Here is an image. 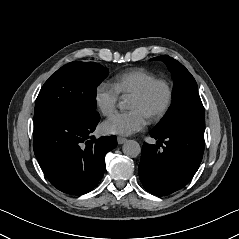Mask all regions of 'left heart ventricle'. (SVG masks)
<instances>
[{"instance_id":"obj_1","label":"left heart ventricle","mask_w":239,"mask_h":239,"mask_svg":"<svg viewBox=\"0 0 239 239\" xmlns=\"http://www.w3.org/2000/svg\"><path fill=\"white\" fill-rule=\"evenodd\" d=\"M163 95V89L160 86H156L152 89L149 95L142 100L134 101L128 99L127 106L136 109L144 116L161 103Z\"/></svg>"}]
</instances>
